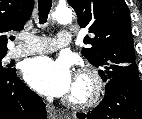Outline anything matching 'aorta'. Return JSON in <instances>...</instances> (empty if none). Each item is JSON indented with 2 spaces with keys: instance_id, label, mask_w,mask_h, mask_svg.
<instances>
[{
  "instance_id": "aorta-1",
  "label": "aorta",
  "mask_w": 142,
  "mask_h": 119,
  "mask_svg": "<svg viewBox=\"0 0 142 119\" xmlns=\"http://www.w3.org/2000/svg\"><path fill=\"white\" fill-rule=\"evenodd\" d=\"M72 17V11L68 7H57L52 14V20L58 23H68Z\"/></svg>"
}]
</instances>
